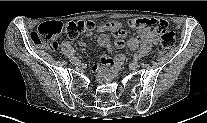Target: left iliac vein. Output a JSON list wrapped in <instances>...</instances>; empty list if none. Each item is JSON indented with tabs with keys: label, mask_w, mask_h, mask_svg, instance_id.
<instances>
[{
	"label": "left iliac vein",
	"mask_w": 207,
	"mask_h": 123,
	"mask_svg": "<svg viewBox=\"0 0 207 123\" xmlns=\"http://www.w3.org/2000/svg\"><path fill=\"white\" fill-rule=\"evenodd\" d=\"M129 66H130V68L132 70H135L138 67V62L137 61H133V62L130 63Z\"/></svg>",
	"instance_id": "left-iliac-vein-1"
}]
</instances>
